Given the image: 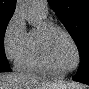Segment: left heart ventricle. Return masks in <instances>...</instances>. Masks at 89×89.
I'll use <instances>...</instances> for the list:
<instances>
[{"mask_svg":"<svg viewBox=\"0 0 89 89\" xmlns=\"http://www.w3.org/2000/svg\"><path fill=\"white\" fill-rule=\"evenodd\" d=\"M54 62L60 70L72 69L76 64V52L65 34L58 31L51 39Z\"/></svg>","mask_w":89,"mask_h":89,"instance_id":"1","label":"left heart ventricle"}]
</instances>
